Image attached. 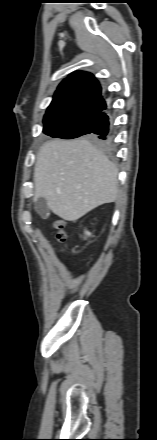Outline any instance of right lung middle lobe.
Returning a JSON list of instances; mask_svg holds the SVG:
<instances>
[{
  "instance_id": "obj_1",
  "label": "right lung middle lobe",
  "mask_w": 157,
  "mask_h": 440,
  "mask_svg": "<svg viewBox=\"0 0 157 440\" xmlns=\"http://www.w3.org/2000/svg\"><path fill=\"white\" fill-rule=\"evenodd\" d=\"M44 133L51 137L72 139L80 136L94 137L96 132L77 120L44 121Z\"/></svg>"
}]
</instances>
